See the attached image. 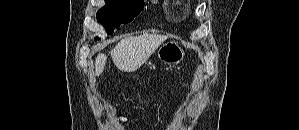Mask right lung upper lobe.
I'll use <instances>...</instances> for the list:
<instances>
[{
  "label": "right lung upper lobe",
  "instance_id": "right-lung-upper-lobe-1",
  "mask_svg": "<svg viewBox=\"0 0 299 130\" xmlns=\"http://www.w3.org/2000/svg\"><path fill=\"white\" fill-rule=\"evenodd\" d=\"M128 1H130V0H128ZM134 1V0H133ZM135 2H143V0H137V1H135Z\"/></svg>",
  "mask_w": 299,
  "mask_h": 130
}]
</instances>
